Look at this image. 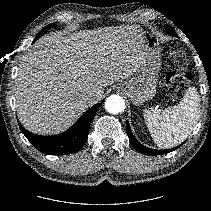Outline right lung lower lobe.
I'll use <instances>...</instances> for the list:
<instances>
[{"label":"right lung lower lobe","instance_id":"1","mask_svg":"<svg viewBox=\"0 0 211 211\" xmlns=\"http://www.w3.org/2000/svg\"><path fill=\"white\" fill-rule=\"evenodd\" d=\"M101 106L100 103L88 109L67 131L54 136H40L19 127L33 146L44 154L64 155L79 151L85 144L90 124Z\"/></svg>","mask_w":211,"mask_h":211}]
</instances>
